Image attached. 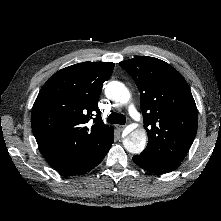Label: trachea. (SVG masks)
<instances>
[{
  "label": "trachea",
  "mask_w": 221,
  "mask_h": 221,
  "mask_svg": "<svg viewBox=\"0 0 221 221\" xmlns=\"http://www.w3.org/2000/svg\"><path fill=\"white\" fill-rule=\"evenodd\" d=\"M107 122L110 124H120V125H125L126 123V118L123 114H119L116 112H112L108 117H107Z\"/></svg>",
  "instance_id": "1"
}]
</instances>
